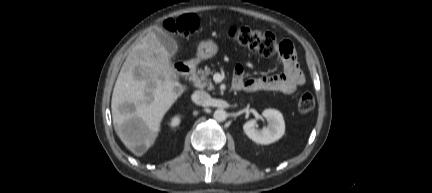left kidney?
I'll list each match as a JSON object with an SVG mask.
<instances>
[{"mask_svg": "<svg viewBox=\"0 0 432 193\" xmlns=\"http://www.w3.org/2000/svg\"><path fill=\"white\" fill-rule=\"evenodd\" d=\"M262 115L268 121L267 127L257 130L256 120L252 119L243 125V130L252 141L266 145L279 140L284 135L285 123L283 115L278 110L265 109Z\"/></svg>", "mask_w": 432, "mask_h": 193, "instance_id": "5707ae66", "label": "left kidney"}]
</instances>
